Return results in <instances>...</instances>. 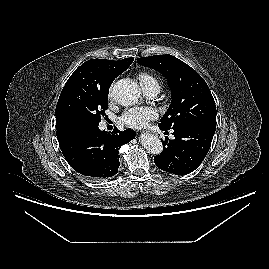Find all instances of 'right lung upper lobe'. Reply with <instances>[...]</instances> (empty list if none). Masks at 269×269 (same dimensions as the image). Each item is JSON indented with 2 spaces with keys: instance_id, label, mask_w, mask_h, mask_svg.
Wrapping results in <instances>:
<instances>
[{
  "instance_id": "cb5924a9",
  "label": "right lung upper lobe",
  "mask_w": 269,
  "mask_h": 269,
  "mask_svg": "<svg viewBox=\"0 0 269 269\" xmlns=\"http://www.w3.org/2000/svg\"><path fill=\"white\" fill-rule=\"evenodd\" d=\"M134 58L119 61L91 59L78 67L67 82L79 80L85 84L96 87H109L116 77L128 69ZM67 126L56 122V130Z\"/></svg>"
}]
</instances>
